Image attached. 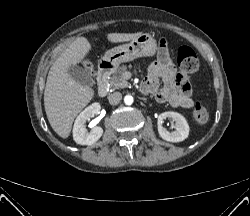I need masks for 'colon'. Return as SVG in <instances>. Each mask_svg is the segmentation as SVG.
Here are the masks:
<instances>
[{"label": "colon", "instance_id": "5ec220e1", "mask_svg": "<svg viewBox=\"0 0 250 216\" xmlns=\"http://www.w3.org/2000/svg\"><path fill=\"white\" fill-rule=\"evenodd\" d=\"M177 63L182 74L189 75L199 69V60L194 50L188 46H181L177 51ZM193 121L197 124H205L208 121L209 113L202 103H196L192 112Z\"/></svg>", "mask_w": 250, "mask_h": 216}]
</instances>
